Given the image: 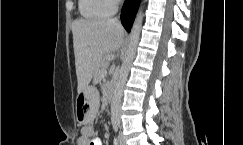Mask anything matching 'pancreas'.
Segmentation results:
<instances>
[{"mask_svg": "<svg viewBox=\"0 0 243 145\" xmlns=\"http://www.w3.org/2000/svg\"><path fill=\"white\" fill-rule=\"evenodd\" d=\"M107 66H108V62L105 59H103L99 63L98 70L95 73V80L96 81H100L103 78V75H105V73H106Z\"/></svg>", "mask_w": 243, "mask_h": 145, "instance_id": "obj_1", "label": "pancreas"}]
</instances>
